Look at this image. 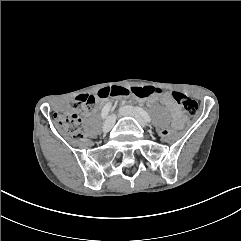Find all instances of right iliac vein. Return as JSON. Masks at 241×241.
<instances>
[{
    "instance_id": "obj_1",
    "label": "right iliac vein",
    "mask_w": 241,
    "mask_h": 241,
    "mask_svg": "<svg viewBox=\"0 0 241 241\" xmlns=\"http://www.w3.org/2000/svg\"><path fill=\"white\" fill-rule=\"evenodd\" d=\"M114 123H115V117L112 115V116H109L104 124H103V132H109L113 126H114Z\"/></svg>"
}]
</instances>
